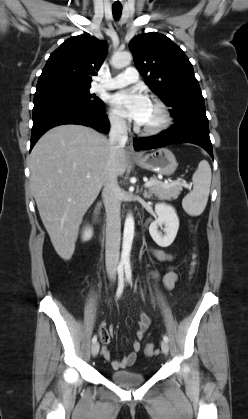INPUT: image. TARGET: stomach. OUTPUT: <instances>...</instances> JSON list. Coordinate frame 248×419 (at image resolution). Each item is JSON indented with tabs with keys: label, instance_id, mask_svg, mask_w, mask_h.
Here are the masks:
<instances>
[{
	"label": "stomach",
	"instance_id": "obj_1",
	"mask_svg": "<svg viewBox=\"0 0 248 419\" xmlns=\"http://www.w3.org/2000/svg\"><path fill=\"white\" fill-rule=\"evenodd\" d=\"M134 162L143 169L169 176L178 166L174 154L167 148H160L143 157L134 159Z\"/></svg>",
	"mask_w": 248,
	"mask_h": 419
}]
</instances>
